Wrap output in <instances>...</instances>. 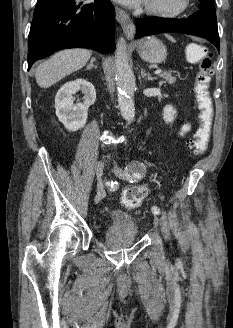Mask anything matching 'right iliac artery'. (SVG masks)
<instances>
[{"label": "right iliac artery", "mask_w": 233, "mask_h": 328, "mask_svg": "<svg viewBox=\"0 0 233 328\" xmlns=\"http://www.w3.org/2000/svg\"><path fill=\"white\" fill-rule=\"evenodd\" d=\"M117 183L115 182V183H111V188H114V190H115V188H117V185H116Z\"/></svg>", "instance_id": "right-iliac-artery-1"}]
</instances>
